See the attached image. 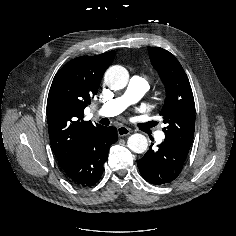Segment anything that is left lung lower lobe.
<instances>
[{
    "label": "left lung lower lobe",
    "instance_id": "obj_1",
    "mask_svg": "<svg viewBox=\"0 0 236 236\" xmlns=\"http://www.w3.org/2000/svg\"><path fill=\"white\" fill-rule=\"evenodd\" d=\"M138 160L137 166L143 178L151 184L162 185L175 180L181 173L187 155L163 142L158 150H152Z\"/></svg>",
    "mask_w": 236,
    "mask_h": 236
}]
</instances>
